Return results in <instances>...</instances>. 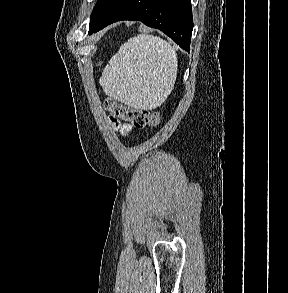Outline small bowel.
Listing matches in <instances>:
<instances>
[{"label":"small bowel","instance_id":"obj_1","mask_svg":"<svg viewBox=\"0 0 288 293\" xmlns=\"http://www.w3.org/2000/svg\"><path fill=\"white\" fill-rule=\"evenodd\" d=\"M110 122L112 126L122 135L127 136L129 135L133 130V125L129 123H120L117 119H114L110 117Z\"/></svg>","mask_w":288,"mask_h":293}]
</instances>
